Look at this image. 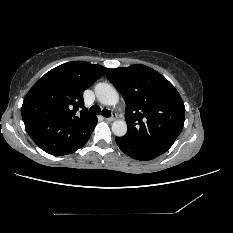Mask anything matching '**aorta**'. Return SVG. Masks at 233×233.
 I'll return each instance as SVG.
<instances>
[{"mask_svg": "<svg viewBox=\"0 0 233 233\" xmlns=\"http://www.w3.org/2000/svg\"><path fill=\"white\" fill-rule=\"evenodd\" d=\"M95 94L98 101L107 106H115L119 102V95L116 89L108 83H98L95 86ZM112 132L122 137L127 132V124L124 120L114 121L112 124Z\"/></svg>", "mask_w": 233, "mask_h": 233, "instance_id": "obj_1", "label": "aorta"}]
</instances>
